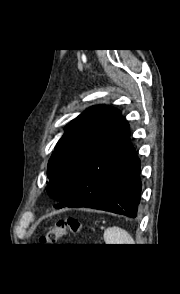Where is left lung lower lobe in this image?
Here are the masks:
<instances>
[{"mask_svg": "<svg viewBox=\"0 0 180 294\" xmlns=\"http://www.w3.org/2000/svg\"><path fill=\"white\" fill-rule=\"evenodd\" d=\"M140 160L122 117L54 207H86L136 217L140 201Z\"/></svg>", "mask_w": 180, "mask_h": 294, "instance_id": "1", "label": "left lung lower lobe"}]
</instances>
